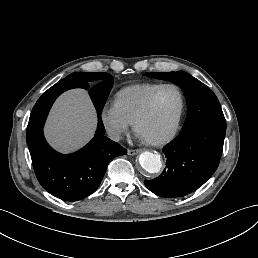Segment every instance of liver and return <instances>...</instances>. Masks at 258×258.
<instances>
[{
    "label": "liver",
    "mask_w": 258,
    "mask_h": 258,
    "mask_svg": "<svg viewBox=\"0 0 258 258\" xmlns=\"http://www.w3.org/2000/svg\"><path fill=\"white\" fill-rule=\"evenodd\" d=\"M98 116L88 90L72 88L53 103L43 135L54 150L72 153L84 148L95 136Z\"/></svg>",
    "instance_id": "obj_1"
}]
</instances>
